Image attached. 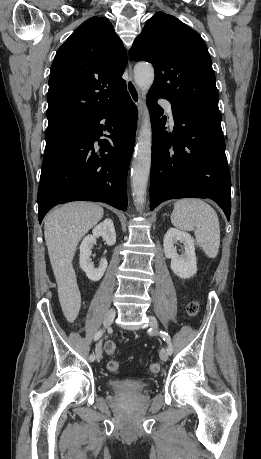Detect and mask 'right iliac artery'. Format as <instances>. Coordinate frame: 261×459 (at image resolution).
I'll list each match as a JSON object with an SVG mask.
<instances>
[{"label": "right iliac artery", "mask_w": 261, "mask_h": 459, "mask_svg": "<svg viewBox=\"0 0 261 459\" xmlns=\"http://www.w3.org/2000/svg\"><path fill=\"white\" fill-rule=\"evenodd\" d=\"M103 332H104L103 330H99L94 336V341H97L103 335ZM89 359L90 361H94L95 360L94 354H91Z\"/></svg>", "instance_id": "right-iliac-artery-1"}]
</instances>
